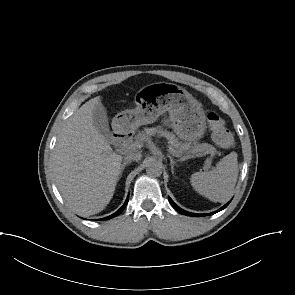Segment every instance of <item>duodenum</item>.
Here are the masks:
<instances>
[{
    "label": "duodenum",
    "instance_id": "duodenum-1",
    "mask_svg": "<svg viewBox=\"0 0 295 295\" xmlns=\"http://www.w3.org/2000/svg\"><path fill=\"white\" fill-rule=\"evenodd\" d=\"M132 134L128 129V124L125 121H121L115 125L114 139L118 148H126L131 140Z\"/></svg>",
    "mask_w": 295,
    "mask_h": 295
}]
</instances>
